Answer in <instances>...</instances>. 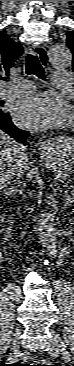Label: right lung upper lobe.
Masks as SVG:
<instances>
[{"instance_id":"right-lung-upper-lobe-1","label":"right lung upper lobe","mask_w":74,"mask_h":366,"mask_svg":"<svg viewBox=\"0 0 74 366\" xmlns=\"http://www.w3.org/2000/svg\"><path fill=\"white\" fill-rule=\"evenodd\" d=\"M22 54V46L6 33L0 32V81L6 79L9 69Z\"/></svg>"}]
</instances>
